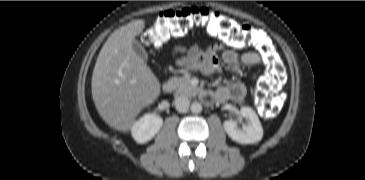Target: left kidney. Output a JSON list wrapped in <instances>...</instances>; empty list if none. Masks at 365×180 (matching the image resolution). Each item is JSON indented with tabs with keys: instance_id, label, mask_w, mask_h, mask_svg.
I'll use <instances>...</instances> for the list:
<instances>
[{
	"instance_id": "obj_1",
	"label": "left kidney",
	"mask_w": 365,
	"mask_h": 180,
	"mask_svg": "<svg viewBox=\"0 0 365 180\" xmlns=\"http://www.w3.org/2000/svg\"><path fill=\"white\" fill-rule=\"evenodd\" d=\"M240 116L248 120V124L238 127L237 121L226 120L223 123L228 136L241 144H253L259 142L263 137V128L255 111L250 107H242Z\"/></svg>"
}]
</instances>
